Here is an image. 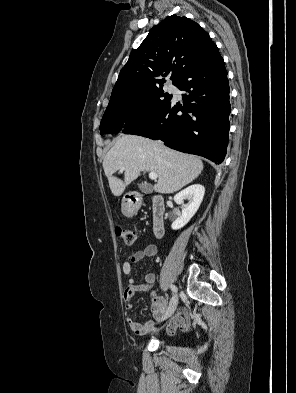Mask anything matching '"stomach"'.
<instances>
[{
    "mask_svg": "<svg viewBox=\"0 0 296 393\" xmlns=\"http://www.w3.org/2000/svg\"><path fill=\"white\" fill-rule=\"evenodd\" d=\"M122 212H123L125 215H128V214H129V210L125 207V205H123Z\"/></svg>",
    "mask_w": 296,
    "mask_h": 393,
    "instance_id": "stomach-1",
    "label": "stomach"
}]
</instances>
